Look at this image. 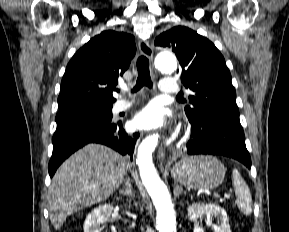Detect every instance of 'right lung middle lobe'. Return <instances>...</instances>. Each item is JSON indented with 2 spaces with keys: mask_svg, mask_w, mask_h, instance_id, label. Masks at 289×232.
<instances>
[{
  "mask_svg": "<svg viewBox=\"0 0 289 232\" xmlns=\"http://www.w3.org/2000/svg\"><path fill=\"white\" fill-rule=\"evenodd\" d=\"M112 106H80L60 109L55 121L57 124L77 121L111 122Z\"/></svg>",
  "mask_w": 289,
  "mask_h": 232,
  "instance_id": "right-lung-middle-lobe-1",
  "label": "right lung middle lobe"
}]
</instances>
